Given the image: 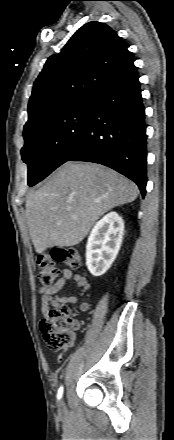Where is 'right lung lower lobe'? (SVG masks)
<instances>
[{
  "label": "right lung lower lobe",
  "instance_id": "1",
  "mask_svg": "<svg viewBox=\"0 0 174 440\" xmlns=\"http://www.w3.org/2000/svg\"><path fill=\"white\" fill-rule=\"evenodd\" d=\"M138 79L133 64L94 90L87 129L66 161H88L108 166L134 181L144 197L147 135Z\"/></svg>",
  "mask_w": 174,
  "mask_h": 440
}]
</instances>
